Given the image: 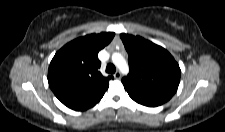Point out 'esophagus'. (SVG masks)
Wrapping results in <instances>:
<instances>
[{
    "label": "esophagus",
    "mask_w": 225,
    "mask_h": 132,
    "mask_svg": "<svg viewBox=\"0 0 225 132\" xmlns=\"http://www.w3.org/2000/svg\"><path fill=\"white\" fill-rule=\"evenodd\" d=\"M114 78L115 79H120L121 78V72L120 71H116L114 74Z\"/></svg>",
    "instance_id": "1"
}]
</instances>
